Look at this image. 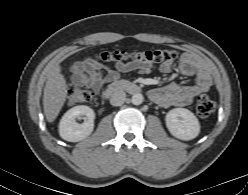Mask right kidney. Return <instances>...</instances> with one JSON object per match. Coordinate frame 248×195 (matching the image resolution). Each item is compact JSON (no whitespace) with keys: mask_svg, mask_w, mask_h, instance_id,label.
I'll list each match as a JSON object with an SVG mask.
<instances>
[{"mask_svg":"<svg viewBox=\"0 0 248 195\" xmlns=\"http://www.w3.org/2000/svg\"><path fill=\"white\" fill-rule=\"evenodd\" d=\"M83 117V123L76 122V118ZM94 111L85 105L69 109L59 123V134L69 142H78L87 138L94 129Z\"/></svg>","mask_w":248,"mask_h":195,"instance_id":"right-kidney-1","label":"right kidney"}]
</instances>
